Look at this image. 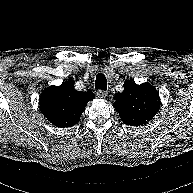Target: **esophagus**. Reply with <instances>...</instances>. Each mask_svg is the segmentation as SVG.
<instances>
[{
    "label": "esophagus",
    "instance_id": "34e87169",
    "mask_svg": "<svg viewBox=\"0 0 193 193\" xmlns=\"http://www.w3.org/2000/svg\"><path fill=\"white\" fill-rule=\"evenodd\" d=\"M96 94H97V96H98L99 98H105L106 95H107V92L104 91V90H98V91L96 92Z\"/></svg>",
    "mask_w": 193,
    "mask_h": 193
}]
</instances>
